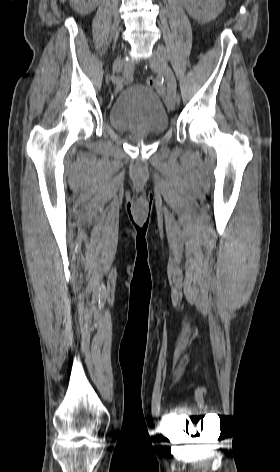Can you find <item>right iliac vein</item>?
Here are the masks:
<instances>
[{
	"label": "right iliac vein",
	"mask_w": 280,
	"mask_h": 472,
	"mask_svg": "<svg viewBox=\"0 0 280 472\" xmlns=\"http://www.w3.org/2000/svg\"><path fill=\"white\" fill-rule=\"evenodd\" d=\"M123 67V60L121 57H117L113 63V73L118 72L122 69Z\"/></svg>",
	"instance_id": "right-iliac-vein-1"
}]
</instances>
